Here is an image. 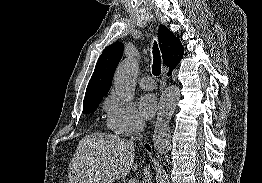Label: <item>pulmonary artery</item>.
<instances>
[{"instance_id": "pulmonary-artery-1", "label": "pulmonary artery", "mask_w": 262, "mask_h": 183, "mask_svg": "<svg viewBox=\"0 0 262 183\" xmlns=\"http://www.w3.org/2000/svg\"><path fill=\"white\" fill-rule=\"evenodd\" d=\"M140 86L142 89L144 90H153L155 88V83L152 77L150 76H144L141 80H140Z\"/></svg>"}]
</instances>
